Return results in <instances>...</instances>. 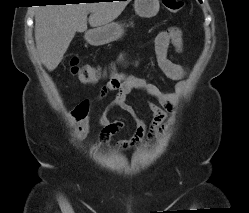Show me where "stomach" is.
<instances>
[{
	"instance_id": "stomach-1",
	"label": "stomach",
	"mask_w": 249,
	"mask_h": 213,
	"mask_svg": "<svg viewBox=\"0 0 249 213\" xmlns=\"http://www.w3.org/2000/svg\"><path fill=\"white\" fill-rule=\"evenodd\" d=\"M160 8L159 0H135L134 9L137 15L144 18L154 17ZM124 35V27L117 22L90 30L86 33V40L94 46H101L116 41Z\"/></svg>"
}]
</instances>
